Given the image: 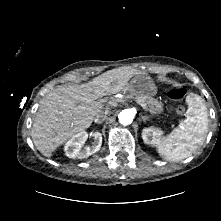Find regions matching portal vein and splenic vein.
I'll return each instance as SVG.
<instances>
[{"instance_id": "18ae733b", "label": "portal vein and splenic vein", "mask_w": 221, "mask_h": 221, "mask_svg": "<svg viewBox=\"0 0 221 221\" xmlns=\"http://www.w3.org/2000/svg\"><path fill=\"white\" fill-rule=\"evenodd\" d=\"M135 101H136V103L139 104L145 111H148V107H147V105H146L144 102H142V101H140V100H135Z\"/></svg>"}]
</instances>
